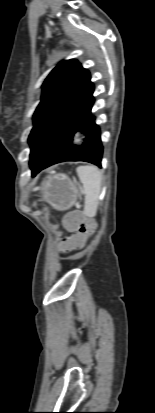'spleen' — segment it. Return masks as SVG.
Returning <instances> with one entry per match:
<instances>
[{
	"instance_id": "obj_1",
	"label": "spleen",
	"mask_w": 155,
	"mask_h": 413,
	"mask_svg": "<svg viewBox=\"0 0 155 413\" xmlns=\"http://www.w3.org/2000/svg\"><path fill=\"white\" fill-rule=\"evenodd\" d=\"M78 177L85 194L84 215L93 218L98 209V198L101 191L102 173L92 165L77 167Z\"/></svg>"
}]
</instances>
